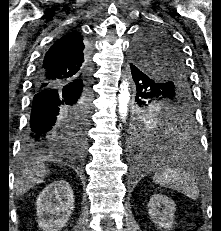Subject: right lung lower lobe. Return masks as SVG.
<instances>
[{
    "mask_svg": "<svg viewBox=\"0 0 221 231\" xmlns=\"http://www.w3.org/2000/svg\"><path fill=\"white\" fill-rule=\"evenodd\" d=\"M90 83L91 73L81 82L34 88L30 123L21 147L25 159L83 156L85 144L68 132L65 116L83 104H90Z\"/></svg>",
    "mask_w": 221,
    "mask_h": 231,
    "instance_id": "98d812e1",
    "label": "right lung lower lobe"
}]
</instances>
